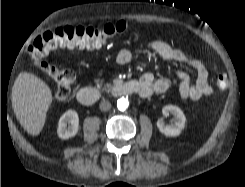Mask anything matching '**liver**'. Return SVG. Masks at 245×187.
Wrapping results in <instances>:
<instances>
[{"label":"liver","instance_id":"obj_1","mask_svg":"<svg viewBox=\"0 0 245 187\" xmlns=\"http://www.w3.org/2000/svg\"><path fill=\"white\" fill-rule=\"evenodd\" d=\"M52 100L50 88L40 78L26 72L18 75L12 88V107L27 133L40 134Z\"/></svg>","mask_w":245,"mask_h":187}]
</instances>
